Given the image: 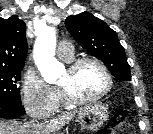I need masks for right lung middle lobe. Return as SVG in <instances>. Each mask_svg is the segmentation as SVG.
I'll list each match as a JSON object with an SVG mask.
<instances>
[{
  "instance_id": "obj_1",
  "label": "right lung middle lobe",
  "mask_w": 153,
  "mask_h": 134,
  "mask_svg": "<svg viewBox=\"0 0 153 134\" xmlns=\"http://www.w3.org/2000/svg\"><path fill=\"white\" fill-rule=\"evenodd\" d=\"M23 67H0V101L22 103L17 83Z\"/></svg>"
}]
</instances>
